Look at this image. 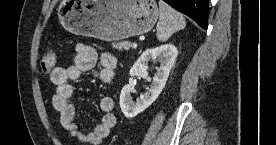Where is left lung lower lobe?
Segmentation results:
<instances>
[{
	"mask_svg": "<svg viewBox=\"0 0 276 145\" xmlns=\"http://www.w3.org/2000/svg\"><path fill=\"white\" fill-rule=\"evenodd\" d=\"M176 10L191 17L198 25L207 29L208 0H164Z\"/></svg>",
	"mask_w": 276,
	"mask_h": 145,
	"instance_id": "obj_1",
	"label": "left lung lower lobe"
}]
</instances>
